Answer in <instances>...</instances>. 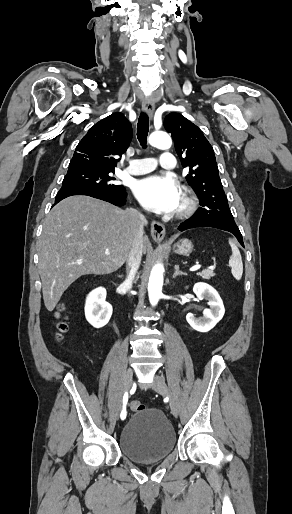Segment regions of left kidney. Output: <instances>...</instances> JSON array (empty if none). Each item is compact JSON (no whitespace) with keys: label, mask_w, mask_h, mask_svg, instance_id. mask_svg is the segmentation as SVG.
<instances>
[{"label":"left kidney","mask_w":292,"mask_h":514,"mask_svg":"<svg viewBox=\"0 0 292 514\" xmlns=\"http://www.w3.org/2000/svg\"><path fill=\"white\" fill-rule=\"evenodd\" d=\"M193 292L200 300H203V298L209 300L207 304L210 308L204 310L203 318H194L193 314H187L186 320L191 328H194L197 332H209V330H212V328L216 326L217 322L222 320L225 314L223 302L218 292H216L212 286H209V284H204V282L195 284Z\"/></svg>","instance_id":"1"}]
</instances>
